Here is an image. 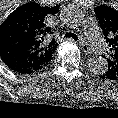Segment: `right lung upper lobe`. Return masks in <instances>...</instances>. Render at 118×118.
<instances>
[{"label":"right lung upper lobe","mask_w":118,"mask_h":118,"mask_svg":"<svg viewBox=\"0 0 118 118\" xmlns=\"http://www.w3.org/2000/svg\"><path fill=\"white\" fill-rule=\"evenodd\" d=\"M60 5L41 7L26 3L0 25V57L12 70L30 74L46 67L57 47L45 17L58 12Z\"/></svg>","instance_id":"cb5924a9"}]
</instances>
